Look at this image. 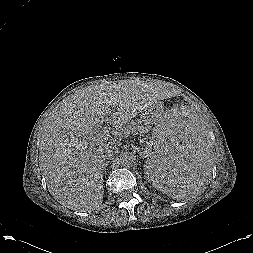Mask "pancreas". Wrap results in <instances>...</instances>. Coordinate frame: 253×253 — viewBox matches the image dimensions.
Instances as JSON below:
<instances>
[{"mask_svg":"<svg viewBox=\"0 0 253 253\" xmlns=\"http://www.w3.org/2000/svg\"><path fill=\"white\" fill-rule=\"evenodd\" d=\"M128 129L131 130V132L134 135L140 134L141 136L140 140L143 144H146V147H147V149L145 148L146 152L148 155H150L151 150L149 149V146L147 144V138H146V134L149 131L150 126L147 123L143 122L142 120H136L130 123V125L128 126Z\"/></svg>","mask_w":253,"mask_h":253,"instance_id":"cf45deb5","label":"pancreas"}]
</instances>
